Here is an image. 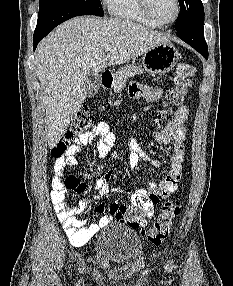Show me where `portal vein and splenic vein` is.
Listing matches in <instances>:
<instances>
[{
    "instance_id": "18ae733b",
    "label": "portal vein and splenic vein",
    "mask_w": 233,
    "mask_h": 286,
    "mask_svg": "<svg viewBox=\"0 0 233 286\" xmlns=\"http://www.w3.org/2000/svg\"><path fill=\"white\" fill-rule=\"evenodd\" d=\"M111 49H112L111 46H106V47L104 48L105 51H110Z\"/></svg>"
}]
</instances>
